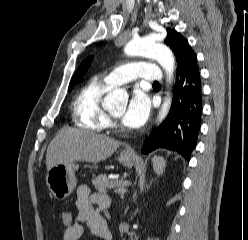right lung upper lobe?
<instances>
[{
  "label": "right lung upper lobe",
  "instance_id": "1",
  "mask_svg": "<svg viewBox=\"0 0 248 240\" xmlns=\"http://www.w3.org/2000/svg\"><path fill=\"white\" fill-rule=\"evenodd\" d=\"M91 61H92V57H89L85 61L82 62V64L78 68L77 72L73 76L71 82H78L79 80H81V78L86 73L87 69L89 68Z\"/></svg>",
  "mask_w": 248,
  "mask_h": 240
}]
</instances>
